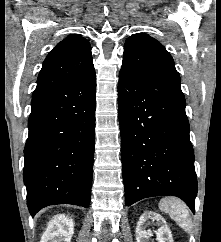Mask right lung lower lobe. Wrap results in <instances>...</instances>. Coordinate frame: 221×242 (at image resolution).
Returning a JSON list of instances; mask_svg holds the SVG:
<instances>
[{
  "label": "right lung lower lobe",
  "instance_id": "obj_1",
  "mask_svg": "<svg viewBox=\"0 0 221 242\" xmlns=\"http://www.w3.org/2000/svg\"><path fill=\"white\" fill-rule=\"evenodd\" d=\"M95 71L35 97L24 149V183L32 216L56 204L90 203L95 139Z\"/></svg>",
  "mask_w": 221,
  "mask_h": 242
}]
</instances>
